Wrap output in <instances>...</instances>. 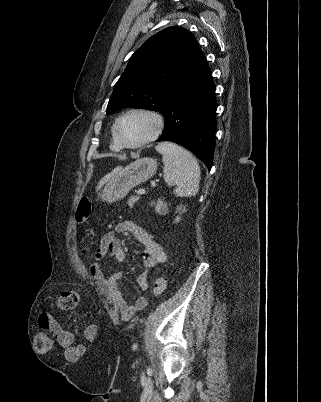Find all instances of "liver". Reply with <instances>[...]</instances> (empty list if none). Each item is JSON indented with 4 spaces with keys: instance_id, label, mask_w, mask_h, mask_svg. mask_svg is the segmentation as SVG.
<instances>
[{
    "instance_id": "obj_1",
    "label": "liver",
    "mask_w": 321,
    "mask_h": 402,
    "mask_svg": "<svg viewBox=\"0 0 321 402\" xmlns=\"http://www.w3.org/2000/svg\"><path fill=\"white\" fill-rule=\"evenodd\" d=\"M120 169H121V167H116L111 173L107 174V175L100 181V183H99L97 189H98L101 185H103V184L106 182V180H108L112 175H114L115 173H117Z\"/></svg>"
}]
</instances>
